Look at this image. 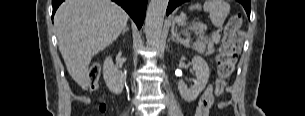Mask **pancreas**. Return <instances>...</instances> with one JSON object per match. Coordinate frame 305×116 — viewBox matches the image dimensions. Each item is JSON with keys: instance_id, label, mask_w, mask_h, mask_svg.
I'll return each instance as SVG.
<instances>
[{"instance_id": "cf45deb5", "label": "pancreas", "mask_w": 305, "mask_h": 116, "mask_svg": "<svg viewBox=\"0 0 305 116\" xmlns=\"http://www.w3.org/2000/svg\"><path fill=\"white\" fill-rule=\"evenodd\" d=\"M207 43H208V39L203 35H200L191 47L192 49L196 50L199 53H204Z\"/></svg>"}]
</instances>
